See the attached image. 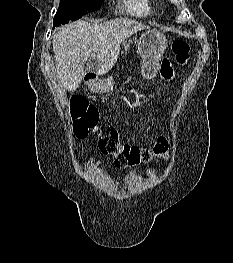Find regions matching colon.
<instances>
[{"instance_id":"obj_1","label":"colon","mask_w":233,"mask_h":263,"mask_svg":"<svg viewBox=\"0 0 233 263\" xmlns=\"http://www.w3.org/2000/svg\"><path fill=\"white\" fill-rule=\"evenodd\" d=\"M176 62L180 65L187 63L190 46L184 40H175L172 45ZM70 115L74 124L75 133L79 138H86L94 134L98 138L100 150L115 158L117 167H128L147 162L153 156L164 157L168 150L166 137H159L153 148H140L122 143L117 130L109 125L99 124V114L95 106L84 98H75L71 103Z\"/></svg>"}]
</instances>
